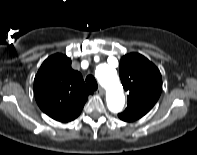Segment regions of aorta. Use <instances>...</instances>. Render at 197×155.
Returning a JSON list of instances; mask_svg holds the SVG:
<instances>
[{"label":"aorta","instance_id":"obj_1","mask_svg":"<svg viewBox=\"0 0 197 155\" xmlns=\"http://www.w3.org/2000/svg\"><path fill=\"white\" fill-rule=\"evenodd\" d=\"M95 75L106 89L108 109L113 113L120 112L125 104V96L116 70L108 64H100L96 67Z\"/></svg>","mask_w":197,"mask_h":155}]
</instances>
